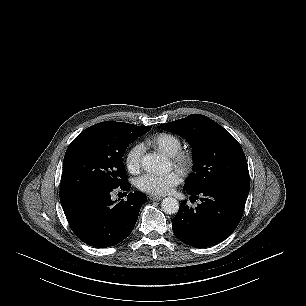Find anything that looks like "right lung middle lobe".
I'll use <instances>...</instances> for the list:
<instances>
[{
  "mask_svg": "<svg viewBox=\"0 0 306 306\" xmlns=\"http://www.w3.org/2000/svg\"><path fill=\"white\" fill-rule=\"evenodd\" d=\"M150 129L151 126L130 128L110 121L82 131L65 153L60 200L94 188L116 189L127 184L124 151Z\"/></svg>",
  "mask_w": 306,
  "mask_h": 306,
  "instance_id": "1",
  "label": "right lung middle lobe"
}]
</instances>
